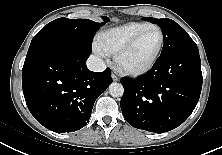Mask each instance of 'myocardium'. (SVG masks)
<instances>
[{"instance_id": "f54148a6", "label": "myocardium", "mask_w": 222, "mask_h": 155, "mask_svg": "<svg viewBox=\"0 0 222 155\" xmlns=\"http://www.w3.org/2000/svg\"><path fill=\"white\" fill-rule=\"evenodd\" d=\"M152 29L157 30L160 34V44H159L158 50L155 53L152 60L147 65H145L144 67L138 68V69H131V68H127V67L123 66V64H122L123 57L138 43V41L148 31H150ZM164 43H165V36H164V33H163L162 29L157 25H152V26L142 30L138 34H136L130 41H128L124 46H122L117 51V53L115 54L116 65H117V67L119 68L120 71H122L123 73H125L127 75L142 76V75L148 73L149 71H151L153 69V67L156 65V63L158 62V60H159V58L162 54Z\"/></svg>"}]
</instances>
